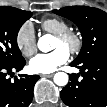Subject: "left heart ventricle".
Wrapping results in <instances>:
<instances>
[{
  "label": "left heart ventricle",
  "instance_id": "1",
  "mask_svg": "<svg viewBox=\"0 0 107 107\" xmlns=\"http://www.w3.org/2000/svg\"><path fill=\"white\" fill-rule=\"evenodd\" d=\"M57 48H64V49L68 50L67 45L62 44V43L59 42L58 40L54 39L52 49L55 50V49H57Z\"/></svg>",
  "mask_w": 107,
  "mask_h": 107
}]
</instances>
